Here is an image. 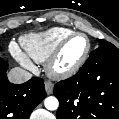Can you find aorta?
Returning a JSON list of instances; mask_svg holds the SVG:
<instances>
[{
	"instance_id": "obj_1",
	"label": "aorta",
	"mask_w": 119,
	"mask_h": 119,
	"mask_svg": "<svg viewBox=\"0 0 119 119\" xmlns=\"http://www.w3.org/2000/svg\"><path fill=\"white\" fill-rule=\"evenodd\" d=\"M44 105L48 110H56L59 106L58 99L54 96L47 97L44 101Z\"/></svg>"
}]
</instances>
